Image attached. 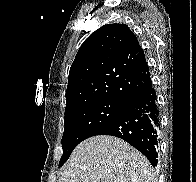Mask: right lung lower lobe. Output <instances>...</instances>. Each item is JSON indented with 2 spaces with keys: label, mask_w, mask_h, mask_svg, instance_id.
Masks as SVG:
<instances>
[{
  "label": "right lung lower lobe",
  "mask_w": 196,
  "mask_h": 182,
  "mask_svg": "<svg viewBox=\"0 0 196 182\" xmlns=\"http://www.w3.org/2000/svg\"><path fill=\"white\" fill-rule=\"evenodd\" d=\"M111 135L127 141L157 166L160 142L159 110L150 82L129 104V107L100 127L92 136Z\"/></svg>",
  "instance_id": "obj_1"
}]
</instances>
